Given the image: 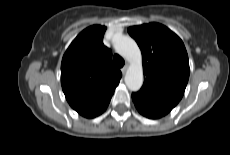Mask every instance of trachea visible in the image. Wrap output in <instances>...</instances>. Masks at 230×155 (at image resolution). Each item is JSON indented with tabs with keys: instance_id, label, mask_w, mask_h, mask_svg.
Wrapping results in <instances>:
<instances>
[{
	"instance_id": "3493384b",
	"label": "trachea",
	"mask_w": 230,
	"mask_h": 155,
	"mask_svg": "<svg viewBox=\"0 0 230 155\" xmlns=\"http://www.w3.org/2000/svg\"><path fill=\"white\" fill-rule=\"evenodd\" d=\"M113 62H114V64H115L117 67H119V68L123 67L124 64H125L124 59H123L122 57H120L119 55H117V54L114 55V57H113Z\"/></svg>"
}]
</instances>
